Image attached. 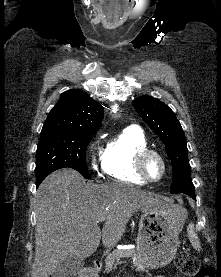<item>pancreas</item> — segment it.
Instances as JSON below:
<instances>
[{"instance_id": "1", "label": "pancreas", "mask_w": 221, "mask_h": 277, "mask_svg": "<svg viewBox=\"0 0 221 277\" xmlns=\"http://www.w3.org/2000/svg\"><path fill=\"white\" fill-rule=\"evenodd\" d=\"M128 257L133 261L134 266L139 268H144L137 258L136 250H115L112 253L108 254L105 263V271L110 272L120 263V258Z\"/></svg>"}]
</instances>
